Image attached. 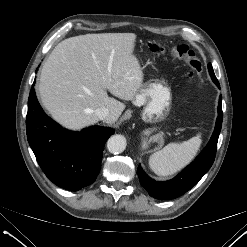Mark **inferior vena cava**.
I'll return each mask as SVG.
<instances>
[{"mask_svg":"<svg viewBox=\"0 0 247 247\" xmlns=\"http://www.w3.org/2000/svg\"><path fill=\"white\" fill-rule=\"evenodd\" d=\"M95 114L100 120L106 119L109 116V109L106 107L97 108Z\"/></svg>","mask_w":247,"mask_h":247,"instance_id":"602c4592","label":"inferior vena cava"}]
</instances>
